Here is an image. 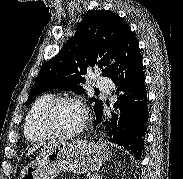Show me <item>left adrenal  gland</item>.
<instances>
[{
    "label": "left adrenal gland",
    "instance_id": "a2214340",
    "mask_svg": "<svg viewBox=\"0 0 183 179\" xmlns=\"http://www.w3.org/2000/svg\"><path fill=\"white\" fill-rule=\"evenodd\" d=\"M102 177H103V175L97 174V175L92 176L90 179H102Z\"/></svg>",
    "mask_w": 183,
    "mask_h": 179
}]
</instances>
